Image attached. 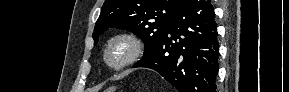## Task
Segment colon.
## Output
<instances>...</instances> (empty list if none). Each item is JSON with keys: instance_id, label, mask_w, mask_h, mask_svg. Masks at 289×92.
I'll return each instance as SVG.
<instances>
[{"instance_id": "obj_1", "label": "colon", "mask_w": 289, "mask_h": 92, "mask_svg": "<svg viewBox=\"0 0 289 92\" xmlns=\"http://www.w3.org/2000/svg\"><path fill=\"white\" fill-rule=\"evenodd\" d=\"M114 89H108L106 92H113Z\"/></svg>"}]
</instances>
